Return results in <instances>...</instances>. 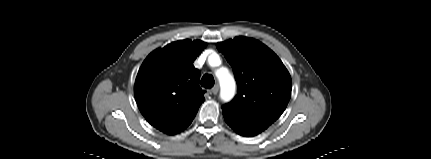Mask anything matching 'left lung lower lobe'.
Instances as JSON below:
<instances>
[{"instance_id": "0a47b994", "label": "left lung lower lobe", "mask_w": 431, "mask_h": 159, "mask_svg": "<svg viewBox=\"0 0 431 159\" xmlns=\"http://www.w3.org/2000/svg\"><path fill=\"white\" fill-rule=\"evenodd\" d=\"M234 129V128H232ZM238 134L242 135V136H246V137H251V136H255L257 134H259L260 132L257 131H249V130H245V131H240L237 129H234Z\"/></svg>"}]
</instances>
